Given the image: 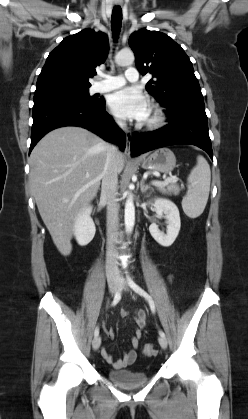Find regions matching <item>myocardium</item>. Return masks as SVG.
<instances>
[{
	"mask_svg": "<svg viewBox=\"0 0 248 419\" xmlns=\"http://www.w3.org/2000/svg\"><path fill=\"white\" fill-rule=\"evenodd\" d=\"M166 119L163 109L157 105L152 104L150 107V114L146 119L144 126L146 129L154 130L161 127Z\"/></svg>",
	"mask_w": 248,
	"mask_h": 419,
	"instance_id": "f54148a6",
	"label": "myocardium"
}]
</instances>
